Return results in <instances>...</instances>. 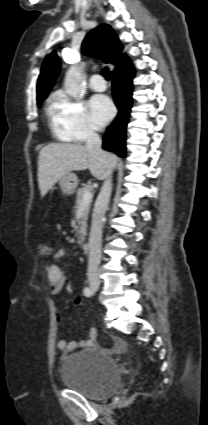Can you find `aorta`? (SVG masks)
I'll use <instances>...</instances> for the list:
<instances>
[{"mask_svg":"<svg viewBox=\"0 0 208 425\" xmlns=\"http://www.w3.org/2000/svg\"><path fill=\"white\" fill-rule=\"evenodd\" d=\"M81 68L80 66H71L65 76L64 87L66 93L71 97H77L80 92Z\"/></svg>","mask_w":208,"mask_h":425,"instance_id":"obj_1","label":"aorta"}]
</instances>
